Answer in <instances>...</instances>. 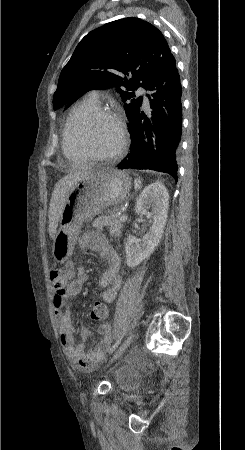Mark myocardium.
<instances>
[{"label":"myocardium","mask_w":245,"mask_h":450,"mask_svg":"<svg viewBox=\"0 0 245 450\" xmlns=\"http://www.w3.org/2000/svg\"><path fill=\"white\" fill-rule=\"evenodd\" d=\"M100 119H108L117 124V126L119 128V132H120V137H121L118 148L115 151H113L112 153L107 154V155H97V154L93 153L89 149V147L80 140L78 132L75 127V122L72 123V128H71L74 145L91 160L98 161V162H109V161L116 160L125 153L128 143H129V134H128L127 126H126L124 120L122 119V117L119 116L117 113H115L111 110L101 109V108L95 109L94 111H92L91 113L86 115L84 118H82L81 121L85 125L86 128H89L96 121H98Z\"/></svg>","instance_id":"myocardium-1"}]
</instances>
